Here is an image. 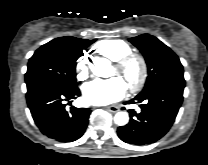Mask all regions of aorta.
Returning <instances> with one entry per match:
<instances>
[{"mask_svg": "<svg viewBox=\"0 0 208 165\" xmlns=\"http://www.w3.org/2000/svg\"><path fill=\"white\" fill-rule=\"evenodd\" d=\"M109 67V61L101 57L94 58L93 64L90 65L91 71L98 77H107ZM114 122L119 126L126 125L129 122L128 113L125 111L117 112L114 116Z\"/></svg>", "mask_w": 208, "mask_h": 165, "instance_id": "762f6f07", "label": "aorta"}]
</instances>
